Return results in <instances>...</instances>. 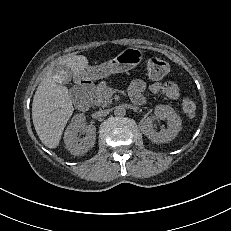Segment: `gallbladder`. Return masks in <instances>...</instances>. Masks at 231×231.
<instances>
[{
  "instance_id": "obj_1",
  "label": "gallbladder",
  "mask_w": 231,
  "mask_h": 231,
  "mask_svg": "<svg viewBox=\"0 0 231 231\" xmlns=\"http://www.w3.org/2000/svg\"><path fill=\"white\" fill-rule=\"evenodd\" d=\"M71 78V73L69 70L65 68H60L57 70L56 73L53 75V80L56 83H62V84H67L69 83Z\"/></svg>"
}]
</instances>
